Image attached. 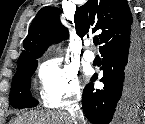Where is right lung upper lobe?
<instances>
[{
    "label": "right lung upper lobe",
    "mask_w": 145,
    "mask_h": 124,
    "mask_svg": "<svg viewBox=\"0 0 145 124\" xmlns=\"http://www.w3.org/2000/svg\"><path fill=\"white\" fill-rule=\"evenodd\" d=\"M59 13V9L50 6L37 13L24 40V50L17 61L16 72L36 62L51 43L68 38V30L61 24ZM132 24V14L126 0H88L75 13L77 35L82 38L89 32L100 30L98 36L102 46Z\"/></svg>",
    "instance_id": "obj_1"
}]
</instances>
